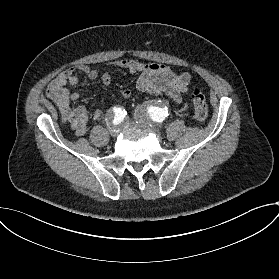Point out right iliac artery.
<instances>
[{"mask_svg":"<svg viewBox=\"0 0 279 279\" xmlns=\"http://www.w3.org/2000/svg\"><path fill=\"white\" fill-rule=\"evenodd\" d=\"M111 116H112V118H113L112 123H113L114 125H117V124H119L122 120L125 119V117H126V112H125V110H124L122 107H120V106H115V107H113L112 110H111Z\"/></svg>","mask_w":279,"mask_h":279,"instance_id":"82829eb1","label":"right iliac artery"}]
</instances>
